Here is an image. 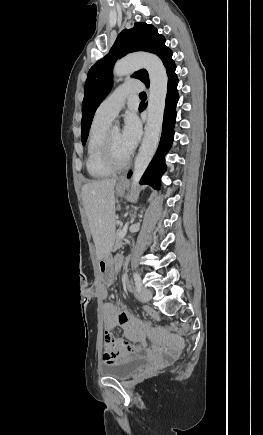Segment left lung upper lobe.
I'll return each mask as SVG.
<instances>
[{
    "instance_id": "1",
    "label": "left lung upper lobe",
    "mask_w": 263,
    "mask_h": 435,
    "mask_svg": "<svg viewBox=\"0 0 263 435\" xmlns=\"http://www.w3.org/2000/svg\"><path fill=\"white\" fill-rule=\"evenodd\" d=\"M135 51H147L158 55L165 67L172 61V51L165 46L164 37L158 34L157 29L152 25L138 22L130 30H123L110 52L89 70L82 104L81 140L83 145L86 143L93 115L111 89L112 68L115 61ZM132 77L149 85V76L145 69L135 72Z\"/></svg>"
}]
</instances>
